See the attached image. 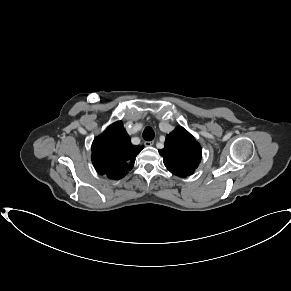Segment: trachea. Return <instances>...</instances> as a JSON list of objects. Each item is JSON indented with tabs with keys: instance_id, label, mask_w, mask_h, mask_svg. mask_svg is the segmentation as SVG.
Returning a JSON list of instances; mask_svg holds the SVG:
<instances>
[{
	"instance_id": "obj_1",
	"label": "trachea",
	"mask_w": 291,
	"mask_h": 291,
	"mask_svg": "<svg viewBox=\"0 0 291 291\" xmlns=\"http://www.w3.org/2000/svg\"><path fill=\"white\" fill-rule=\"evenodd\" d=\"M155 134L154 131L152 130V128L150 127H146L144 132H143V138L146 141H151L154 138Z\"/></svg>"
}]
</instances>
